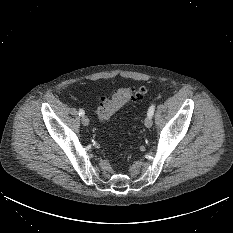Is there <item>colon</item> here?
Instances as JSON below:
<instances>
[{
  "label": "colon",
  "mask_w": 233,
  "mask_h": 233,
  "mask_svg": "<svg viewBox=\"0 0 233 233\" xmlns=\"http://www.w3.org/2000/svg\"><path fill=\"white\" fill-rule=\"evenodd\" d=\"M147 89L143 86L137 88H121L111 97H101L97 106V116L102 122H107L120 108L134 98L142 99L146 96Z\"/></svg>",
  "instance_id": "1"
}]
</instances>
